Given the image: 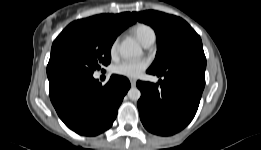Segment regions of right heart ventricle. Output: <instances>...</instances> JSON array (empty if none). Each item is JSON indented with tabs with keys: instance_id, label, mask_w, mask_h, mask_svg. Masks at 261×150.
Returning a JSON list of instances; mask_svg holds the SVG:
<instances>
[{
	"instance_id": "right-heart-ventricle-1",
	"label": "right heart ventricle",
	"mask_w": 261,
	"mask_h": 150,
	"mask_svg": "<svg viewBox=\"0 0 261 150\" xmlns=\"http://www.w3.org/2000/svg\"><path fill=\"white\" fill-rule=\"evenodd\" d=\"M133 34L144 44L150 37L155 36L154 30L147 24H137L133 30Z\"/></svg>"
}]
</instances>
